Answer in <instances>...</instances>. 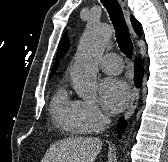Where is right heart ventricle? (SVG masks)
<instances>
[{
    "mask_svg": "<svg viewBox=\"0 0 168 162\" xmlns=\"http://www.w3.org/2000/svg\"><path fill=\"white\" fill-rule=\"evenodd\" d=\"M77 101L71 99L64 86H59L51 101V113L56 123L74 135L86 134L88 130L76 116Z\"/></svg>",
    "mask_w": 168,
    "mask_h": 162,
    "instance_id": "obj_1",
    "label": "right heart ventricle"
}]
</instances>
